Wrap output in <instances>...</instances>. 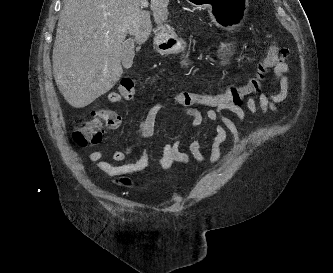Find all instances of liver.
<instances>
[{
  "instance_id": "6515ba94",
  "label": "liver",
  "mask_w": 333,
  "mask_h": 273,
  "mask_svg": "<svg viewBox=\"0 0 333 273\" xmlns=\"http://www.w3.org/2000/svg\"><path fill=\"white\" fill-rule=\"evenodd\" d=\"M144 0H65L53 47L57 87L74 108H83L110 91L121 78L126 35L143 44L151 31ZM155 23L162 27L169 0H150Z\"/></svg>"
}]
</instances>
